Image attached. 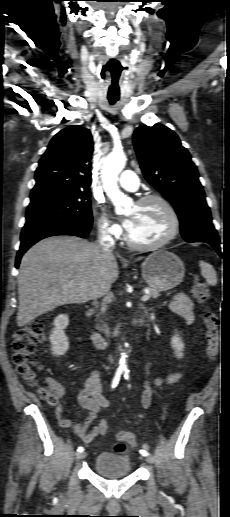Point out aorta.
I'll return each instance as SVG.
<instances>
[{"label":"aorta","mask_w":230,"mask_h":517,"mask_svg":"<svg viewBox=\"0 0 230 517\" xmlns=\"http://www.w3.org/2000/svg\"><path fill=\"white\" fill-rule=\"evenodd\" d=\"M126 156L121 150H113L106 157L101 170V181L107 196L115 205L116 211H121L129 200L119 189L118 186V175L123 170L126 164ZM126 358L125 353L121 354L119 361V369L126 370Z\"/></svg>","instance_id":"762f6f07"}]
</instances>
